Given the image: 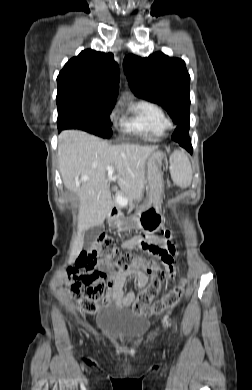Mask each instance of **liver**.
Returning a JSON list of instances; mask_svg holds the SVG:
<instances>
[{"instance_id": "liver-1", "label": "liver", "mask_w": 252, "mask_h": 390, "mask_svg": "<svg viewBox=\"0 0 252 390\" xmlns=\"http://www.w3.org/2000/svg\"><path fill=\"white\" fill-rule=\"evenodd\" d=\"M154 151L155 147L135 144L111 145L80 130H65L59 135L62 180L80 200L78 235L71 246L70 262L83 248V233L103 224L113 208L109 181L116 180L126 196L139 197L146 182L145 164ZM85 175L90 179L81 181Z\"/></svg>"}]
</instances>
